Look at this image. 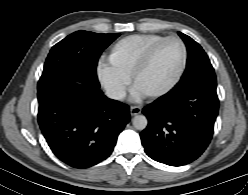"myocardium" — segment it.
<instances>
[{"label": "myocardium", "instance_id": "obj_1", "mask_svg": "<svg viewBox=\"0 0 248 195\" xmlns=\"http://www.w3.org/2000/svg\"><path fill=\"white\" fill-rule=\"evenodd\" d=\"M171 40L178 41L182 46V61H181V65L179 67L178 72L176 73V75L172 79V81L168 85H166L164 88H162V89H160L158 91L141 92L139 90V88H138V81H139L140 77L150 68V66L152 65L153 61L155 60L156 55L159 52V50L167 42H169ZM187 58H188L187 46H186L185 42L180 37L172 35V36H168V37L164 38L161 42H159L148 53V55L145 57L143 62L138 66V68L134 72L133 78H132L133 89L138 91L142 95H144L146 97H150V98H159V97H162V96L166 95L167 93H169L178 84V82L180 81L181 77L183 76V73L185 71L186 64H187Z\"/></svg>", "mask_w": 248, "mask_h": 195}]
</instances>
